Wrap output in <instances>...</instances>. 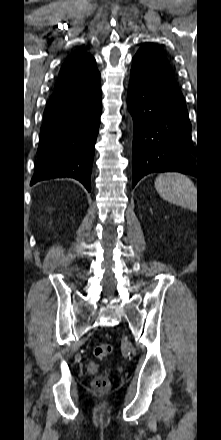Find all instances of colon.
<instances>
[{"instance_id":"colon-1","label":"colon","mask_w":221,"mask_h":440,"mask_svg":"<svg viewBox=\"0 0 221 440\" xmlns=\"http://www.w3.org/2000/svg\"><path fill=\"white\" fill-rule=\"evenodd\" d=\"M112 350L113 348L110 344H99L94 348V355L98 359H105L112 353ZM93 386L97 390L104 391L110 387V381L107 376L99 375L94 379Z\"/></svg>"}]
</instances>
